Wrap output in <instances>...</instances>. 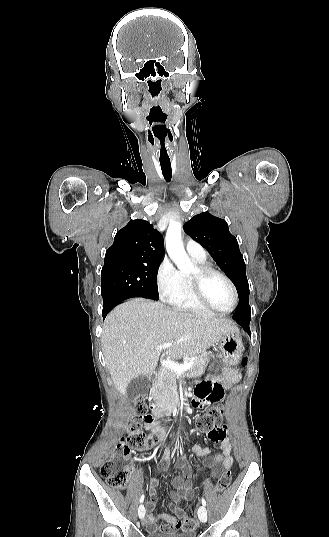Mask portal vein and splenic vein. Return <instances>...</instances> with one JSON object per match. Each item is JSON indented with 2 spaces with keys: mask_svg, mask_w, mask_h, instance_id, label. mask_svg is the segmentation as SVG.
<instances>
[{
  "mask_svg": "<svg viewBox=\"0 0 329 537\" xmlns=\"http://www.w3.org/2000/svg\"><path fill=\"white\" fill-rule=\"evenodd\" d=\"M172 345L173 343H163L157 346L156 350L166 349V348L171 347ZM163 365H165L167 368L171 369L172 371L176 373H182L192 368L193 362L191 361L185 364H179L171 360H163Z\"/></svg>",
  "mask_w": 329,
  "mask_h": 537,
  "instance_id": "portal-vein-and-splenic-vein-1",
  "label": "portal vein and splenic vein"
}]
</instances>
